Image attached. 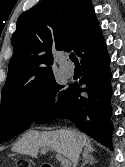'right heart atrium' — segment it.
<instances>
[{
    "instance_id": "obj_1",
    "label": "right heart atrium",
    "mask_w": 125,
    "mask_h": 167,
    "mask_svg": "<svg viewBox=\"0 0 125 167\" xmlns=\"http://www.w3.org/2000/svg\"><path fill=\"white\" fill-rule=\"evenodd\" d=\"M42 104L45 107L49 106L51 104V99L50 98L45 99Z\"/></svg>"
}]
</instances>
